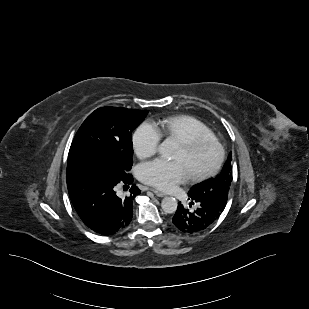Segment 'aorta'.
<instances>
[{"label": "aorta", "instance_id": "1", "mask_svg": "<svg viewBox=\"0 0 309 309\" xmlns=\"http://www.w3.org/2000/svg\"><path fill=\"white\" fill-rule=\"evenodd\" d=\"M160 151L167 155L172 156L176 145L172 139H165L159 146ZM161 208L165 213L172 214L177 210V200L173 197H165L161 202Z\"/></svg>", "mask_w": 309, "mask_h": 309}]
</instances>
